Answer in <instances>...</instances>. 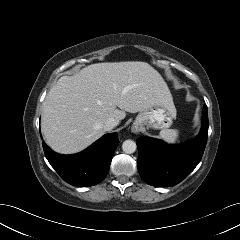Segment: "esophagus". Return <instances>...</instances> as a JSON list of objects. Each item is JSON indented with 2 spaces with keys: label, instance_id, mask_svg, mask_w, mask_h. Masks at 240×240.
Segmentation results:
<instances>
[{
  "label": "esophagus",
  "instance_id": "esophagus-1",
  "mask_svg": "<svg viewBox=\"0 0 240 240\" xmlns=\"http://www.w3.org/2000/svg\"><path fill=\"white\" fill-rule=\"evenodd\" d=\"M133 132H138V128H132Z\"/></svg>",
  "mask_w": 240,
  "mask_h": 240
}]
</instances>
